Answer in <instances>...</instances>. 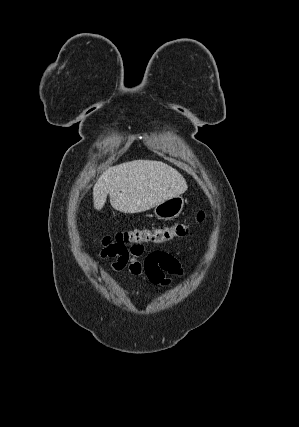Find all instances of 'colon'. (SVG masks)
Wrapping results in <instances>:
<instances>
[{
  "mask_svg": "<svg viewBox=\"0 0 299 427\" xmlns=\"http://www.w3.org/2000/svg\"><path fill=\"white\" fill-rule=\"evenodd\" d=\"M204 219L203 211H197L193 221L199 223ZM192 228L190 222H178L170 225L132 228L121 231L102 240V256L114 257L127 250V245L135 244H163L189 235Z\"/></svg>",
  "mask_w": 299,
  "mask_h": 427,
  "instance_id": "5ec220e1",
  "label": "colon"
}]
</instances>
